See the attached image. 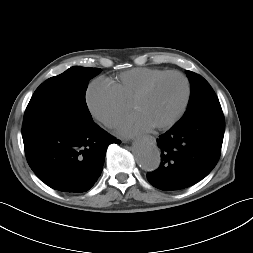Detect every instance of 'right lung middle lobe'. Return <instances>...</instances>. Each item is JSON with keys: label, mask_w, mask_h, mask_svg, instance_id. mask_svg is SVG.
<instances>
[{"label": "right lung middle lobe", "mask_w": 253, "mask_h": 253, "mask_svg": "<svg viewBox=\"0 0 253 253\" xmlns=\"http://www.w3.org/2000/svg\"><path fill=\"white\" fill-rule=\"evenodd\" d=\"M99 68L74 66L43 82L34 92L24 114L22 137L61 121H92L85 93Z\"/></svg>", "instance_id": "right-lung-middle-lobe-1"}]
</instances>
